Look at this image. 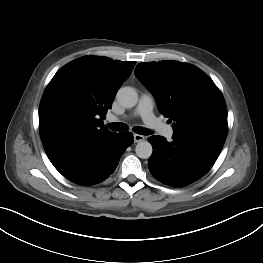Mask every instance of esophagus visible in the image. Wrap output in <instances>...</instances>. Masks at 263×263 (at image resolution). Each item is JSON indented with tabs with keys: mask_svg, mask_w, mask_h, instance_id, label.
<instances>
[{
	"mask_svg": "<svg viewBox=\"0 0 263 263\" xmlns=\"http://www.w3.org/2000/svg\"><path fill=\"white\" fill-rule=\"evenodd\" d=\"M144 139H145L144 136L139 135V134H134V142H135V143L141 142V141H143Z\"/></svg>",
	"mask_w": 263,
	"mask_h": 263,
	"instance_id": "esophagus-1",
	"label": "esophagus"
}]
</instances>
